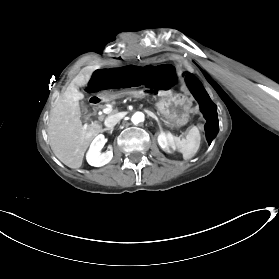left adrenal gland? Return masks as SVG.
Returning <instances> with one entry per match:
<instances>
[{
  "label": "left adrenal gland",
  "mask_w": 279,
  "mask_h": 279,
  "mask_svg": "<svg viewBox=\"0 0 279 279\" xmlns=\"http://www.w3.org/2000/svg\"><path fill=\"white\" fill-rule=\"evenodd\" d=\"M155 119H156V121H157V123H158V126H159L160 130H161L162 127H161V123H160L159 119H158L157 117H155Z\"/></svg>",
  "instance_id": "obj_1"
}]
</instances>
